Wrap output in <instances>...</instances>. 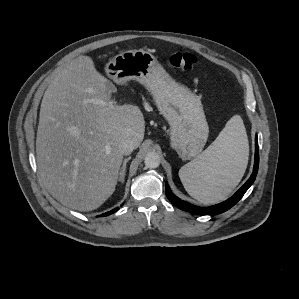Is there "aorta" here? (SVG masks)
Instances as JSON below:
<instances>
[{
    "instance_id": "obj_1",
    "label": "aorta",
    "mask_w": 299,
    "mask_h": 299,
    "mask_svg": "<svg viewBox=\"0 0 299 299\" xmlns=\"http://www.w3.org/2000/svg\"><path fill=\"white\" fill-rule=\"evenodd\" d=\"M144 163L150 169L157 168L160 165V157L156 152H149L144 159Z\"/></svg>"
}]
</instances>
